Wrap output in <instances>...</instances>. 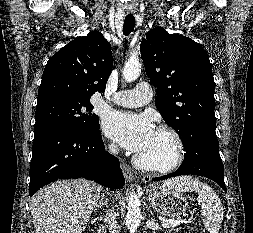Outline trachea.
<instances>
[{"mask_svg": "<svg viewBox=\"0 0 253 233\" xmlns=\"http://www.w3.org/2000/svg\"><path fill=\"white\" fill-rule=\"evenodd\" d=\"M135 27V17L132 14H128L125 17L124 25H123V33L124 35H129Z\"/></svg>", "mask_w": 253, "mask_h": 233, "instance_id": "3493384b", "label": "trachea"}]
</instances>
